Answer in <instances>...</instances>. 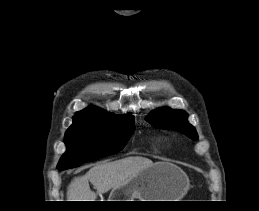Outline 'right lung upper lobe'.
Segmentation results:
<instances>
[{"label": "right lung upper lobe", "instance_id": "1", "mask_svg": "<svg viewBox=\"0 0 259 211\" xmlns=\"http://www.w3.org/2000/svg\"><path fill=\"white\" fill-rule=\"evenodd\" d=\"M80 116H87V117H94V118H113V117H117V116L111 115V114H109V113L105 112L104 110L99 109L97 107L86 108V109H84L80 112H77V114L74 117H80ZM126 116H132V115H126Z\"/></svg>", "mask_w": 259, "mask_h": 211}]
</instances>
